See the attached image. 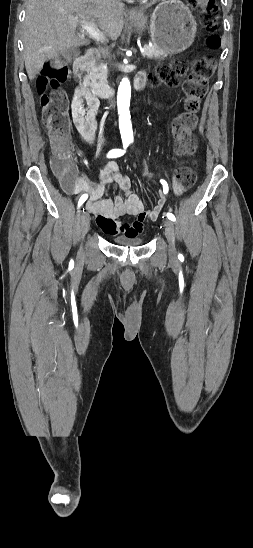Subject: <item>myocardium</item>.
<instances>
[{"label":"myocardium","instance_id":"1","mask_svg":"<svg viewBox=\"0 0 253 548\" xmlns=\"http://www.w3.org/2000/svg\"><path fill=\"white\" fill-rule=\"evenodd\" d=\"M144 1H159V0H144Z\"/></svg>","mask_w":253,"mask_h":548}]
</instances>
